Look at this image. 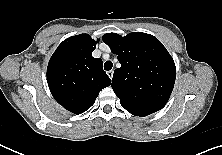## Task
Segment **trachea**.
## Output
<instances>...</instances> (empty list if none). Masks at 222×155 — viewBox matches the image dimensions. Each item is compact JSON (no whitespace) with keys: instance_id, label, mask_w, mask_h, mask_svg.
<instances>
[{"instance_id":"obj_1","label":"trachea","mask_w":222,"mask_h":155,"mask_svg":"<svg viewBox=\"0 0 222 155\" xmlns=\"http://www.w3.org/2000/svg\"><path fill=\"white\" fill-rule=\"evenodd\" d=\"M112 67H113V63H112L111 61H106V62H105V64H104V69H105L106 71L111 70Z\"/></svg>"}]
</instances>
